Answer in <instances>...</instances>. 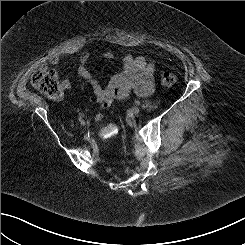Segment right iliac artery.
I'll use <instances>...</instances> for the list:
<instances>
[{"label": "right iliac artery", "instance_id": "1", "mask_svg": "<svg viewBox=\"0 0 245 245\" xmlns=\"http://www.w3.org/2000/svg\"><path fill=\"white\" fill-rule=\"evenodd\" d=\"M78 120H79L80 122L83 121V114H80V115H79Z\"/></svg>", "mask_w": 245, "mask_h": 245}]
</instances>
